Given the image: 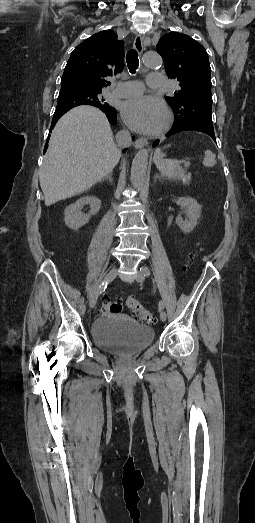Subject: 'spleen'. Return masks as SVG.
<instances>
[{"mask_svg":"<svg viewBox=\"0 0 255 523\" xmlns=\"http://www.w3.org/2000/svg\"><path fill=\"white\" fill-rule=\"evenodd\" d=\"M159 154V150H156V156L154 158V164L156 168H158L159 172H161L162 176H168V178H184L185 174L182 172V168H180L181 162L179 160H162V158H159L157 156ZM216 156L211 152V150H206L205 152V158H203V166H206V168H212V166H215Z\"/></svg>","mask_w":255,"mask_h":523,"instance_id":"spleen-1","label":"spleen"}]
</instances>
